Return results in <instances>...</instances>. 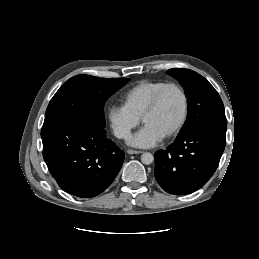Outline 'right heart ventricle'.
Returning a JSON list of instances; mask_svg holds the SVG:
<instances>
[{
  "mask_svg": "<svg viewBox=\"0 0 259 259\" xmlns=\"http://www.w3.org/2000/svg\"><path fill=\"white\" fill-rule=\"evenodd\" d=\"M166 83L164 80H143L136 83L124 93L123 106L140 119L156 92Z\"/></svg>",
  "mask_w": 259,
  "mask_h": 259,
  "instance_id": "right-heart-ventricle-1",
  "label": "right heart ventricle"
}]
</instances>
